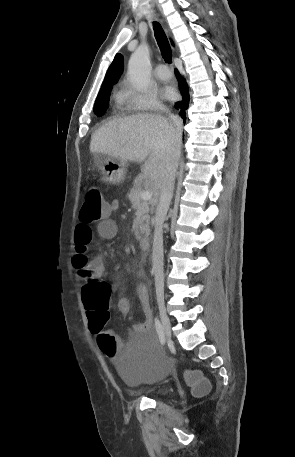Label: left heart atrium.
Segmentation results:
<instances>
[{
    "mask_svg": "<svg viewBox=\"0 0 295 457\" xmlns=\"http://www.w3.org/2000/svg\"><path fill=\"white\" fill-rule=\"evenodd\" d=\"M163 96L166 99H173L175 97V92L171 87H166L164 89Z\"/></svg>",
    "mask_w": 295,
    "mask_h": 457,
    "instance_id": "39dd6f15",
    "label": "left heart atrium"
}]
</instances>
